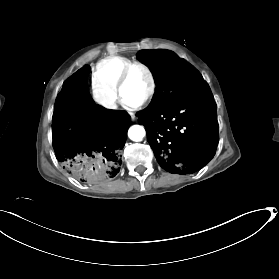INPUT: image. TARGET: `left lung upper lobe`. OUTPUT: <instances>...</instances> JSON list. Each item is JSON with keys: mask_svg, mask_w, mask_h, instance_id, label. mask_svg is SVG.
I'll return each mask as SVG.
<instances>
[{"mask_svg": "<svg viewBox=\"0 0 279 279\" xmlns=\"http://www.w3.org/2000/svg\"><path fill=\"white\" fill-rule=\"evenodd\" d=\"M136 56L148 65L156 83L151 103L142 110L145 114L158 112L205 84L195 68L171 51L143 50Z\"/></svg>", "mask_w": 279, "mask_h": 279, "instance_id": "left-lung-upper-lobe-1", "label": "left lung upper lobe"}]
</instances>
